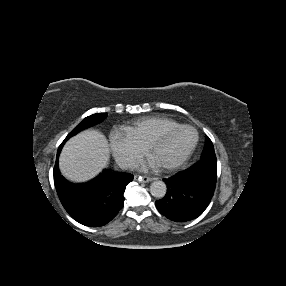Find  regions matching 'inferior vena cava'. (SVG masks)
<instances>
[{"instance_id":"obj_1","label":"inferior vena cava","mask_w":286,"mask_h":286,"mask_svg":"<svg viewBox=\"0 0 286 286\" xmlns=\"http://www.w3.org/2000/svg\"><path fill=\"white\" fill-rule=\"evenodd\" d=\"M116 164L121 169H128V168H132L133 167V164L130 161H128L126 159H123V158L116 159Z\"/></svg>"}]
</instances>
